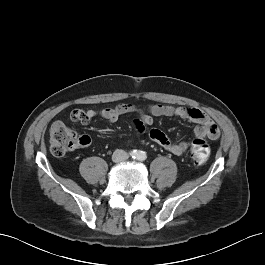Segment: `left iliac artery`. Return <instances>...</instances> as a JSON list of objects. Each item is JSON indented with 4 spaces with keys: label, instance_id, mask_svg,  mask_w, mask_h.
I'll use <instances>...</instances> for the list:
<instances>
[{
    "label": "left iliac artery",
    "instance_id": "left-iliac-artery-1",
    "mask_svg": "<svg viewBox=\"0 0 265 265\" xmlns=\"http://www.w3.org/2000/svg\"><path fill=\"white\" fill-rule=\"evenodd\" d=\"M145 158H146L145 153H144V152H140L139 155H138V159H139L140 161H143V160H145Z\"/></svg>",
    "mask_w": 265,
    "mask_h": 265
}]
</instances>
